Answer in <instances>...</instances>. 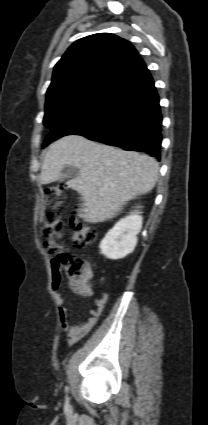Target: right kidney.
Wrapping results in <instances>:
<instances>
[{"label": "right kidney", "instance_id": "1", "mask_svg": "<svg viewBox=\"0 0 208 425\" xmlns=\"http://www.w3.org/2000/svg\"><path fill=\"white\" fill-rule=\"evenodd\" d=\"M142 221L143 218L138 211L119 220L101 241L102 254L109 259L117 260L132 253L137 244V234L142 228Z\"/></svg>", "mask_w": 208, "mask_h": 425}]
</instances>
